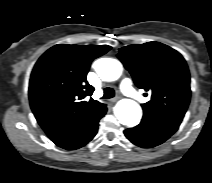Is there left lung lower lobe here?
I'll return each instance as SVG.
<instances>
[{
    "instance_id": "1",
    "label": "left lung lower lobe",
    "mask_w": 212,
    "mask_h": 183,
    "mask_svg": "<svg viewBox=\"0 0 212 183\" xmlns=\"http://www.w3.org/2000/svg\"><path fill=\"white\" fill-rule=\"evenodd\" d=\"M179 125L144 115L139 125L124 131L125 136L135 145L151 148L166 141Z\"/></svg>"
}]
</instances>
